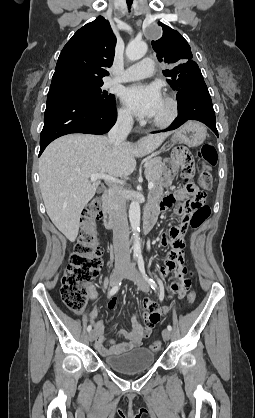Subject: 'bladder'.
Wrapping results in <instances>:
<instances>
[{
    "instance_id": "obj_1",
    "label": "bladder",
    "mask_w": 255,
    "mask_h": 418,
    "mask_svg": "<svg viewBox=\"0 0 255 418\" xmlns=\"http://www.w3.org/2000/svg\"><path fill=\"white\" fill-rule=\"evenodd\" d=\"M105 364L121 373H136L150 368L155 362V353L149 348L139 347L128 352L104 358Z\"/></svg>"
}]
</instances>
